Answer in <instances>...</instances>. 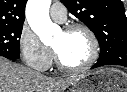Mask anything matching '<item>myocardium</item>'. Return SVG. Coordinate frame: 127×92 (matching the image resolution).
I'll use <instances>...</instances> for the list:
<instances>
[{
  "label": "myocardium",
  "mask_w": 127,
  "mask_h": 92,
  "mask_svg": "<svg viewBox=\"0 0 127 92\" xmlns=\"http://www.w3.org/2000/svg\"><path fill=\"white\" fill-rule=\"evenodd\" d=\"M78 30L85 32L87 36L89 37V40L91 43V54L84 64L78 67H71V66L66 65L60 58L58 52L53 48L55 62H56L57 67L61 71L66 72V73H72V74L82 73L88 70L97 61L99 57L100 44H99L96 34L90 27L84 24H80V23H73V24L66 26L63 32L71 33V32L78 31Z\"/></svg>",
  "instance_id": "myocardium-1"
}]
</instances>
